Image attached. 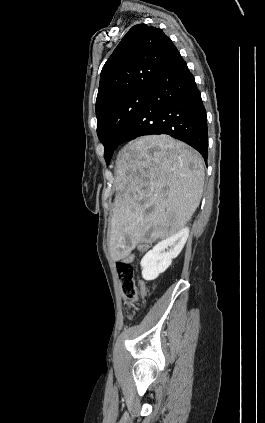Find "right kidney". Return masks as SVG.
<instances>
[{"instance_id":"obj_1","label":"right kidney","mask_w":265,"mask_h":423,"mask_svg":"<svg viewBox=\"0 0 265 423\" xmlns=\"http://www.w3.org/2000/svg\"><path fill=\"white\" fill-rule=\"evenodd\" d=\"M189 229L183 228L153 247L141 260L142 277L147 281L156 279L171 265L183 249ZM167 250V251H166Z\"/></svg>"}]
</instances>
